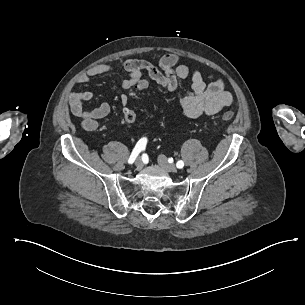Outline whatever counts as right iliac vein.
I'll use <instances>...</instances> for the list:
<instances>
[{"label":"right iliac vein","instance_id":"right-iliac-vein-1","mask_svg":"<svg viewBox=\"0 0 305 305\" xmlns=\"http://www.w3.org/2000/svg\"><path fill=\"white\" fill-rule=\"evenodd\" d=\"M135 166H136L137 169H141L143 167V162L140 158L136 159Z\"/></svg>","mask_w":305,"mask_h":305}]
</instances>
